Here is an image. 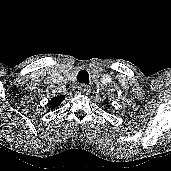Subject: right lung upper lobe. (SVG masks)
<instances>
[{"label": "right lung upper lobe", "mask_w": 171, "mask_h": 171, "mask_svg": "<svg viewBox=\"0 0 171 171\" xmlns=\"http://www.w3.org/2000/svg\"><path fill=\"white\" fill-rule=\"evenodd\" d=\"M65 99V96H57L51 99L49 102L50 108L54 109L56 108L63 100Z\"/></svg>", "instance_id": "1"}]
</instances>
